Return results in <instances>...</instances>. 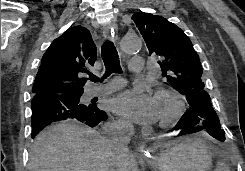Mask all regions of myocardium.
I'll use <instances>...</instances> for the list:
<instances>
[{
	"label": "myocardium",
	"mask_w": 245,
	"mask_h": 171,
	"mask_svg": "<svg viewBox=\"0 0 245 171\" xmlns=\"http://www.w3.org/2000/svg\"><path fill=\"white\" fill-rule=\"evenodd\" d=\"M156 97L164 98L172 102L171 110L159 120L161 127H167L175 123L184 113L186 104L184 97L174 89H158Z\"/></svg>",
	"instance_id": "1"
}]
</instances>
